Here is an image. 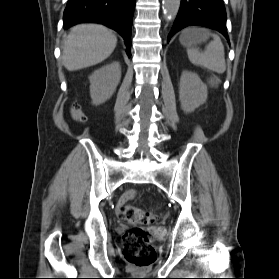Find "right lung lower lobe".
Instances as JSON below:
<instances>
[{"label": "right lung lower lobe", "mask_w": 279, "mask_h": 279, "mask_svg": "<svg viewBox=\"0 0 279 279\" xmlns=\"http://www.w3.org/2000/svg\"><path fill=\"white\" fill-rule=\"evenodd\" d=\"M135 3L136 0H68L63 16L64 29L80 21L106 25L122 35L130 56Z\"/></svg>", "instance_id": "1"}]
</instances>
